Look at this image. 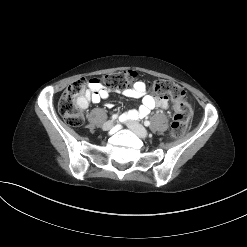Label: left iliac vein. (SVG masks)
<instances>
[{
	"label": "left iliac vein",
	"instance_id": "left-iliac-vein-1",
	"mask_svg": "<svg viewBox=\"0 0 247 247\" xmlns=\"http://www.w3.org/2000/svg\"><path fill=\"white\" fill-rule=\"evenodd\" d=\"M126 124L138 137L143 139L148 136V131L138 122L133 120H127Z\"/></svg>",
	"mask_w": 247,
	"mask_h": 247
}]
</instances>
